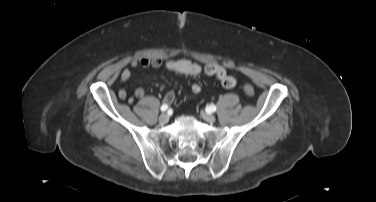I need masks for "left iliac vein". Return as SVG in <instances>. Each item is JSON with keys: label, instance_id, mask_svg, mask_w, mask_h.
<instances>
[{"label": "left iliac vein", "instance_id": "obj_1", "mask_svg": "<svg viewBox=\"0 0 376 202\" xmlns=\"http://www.w3.org/2000/svg\"><path fill=\"white\" fill-rule=\"evenodd\" d=\"M200 113L205 121L209 123H214L216 121V117L213 114L204 112L203 110Z\"/></svg>", "mask_w": 376, "mask_h": 202}]
</instances>
